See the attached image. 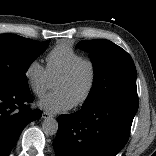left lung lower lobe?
Listing matches in <instances>:
<instances>
[{"label":"left lung lower lobe","mask_w":156,"mask_h":156,"mask_svg":"<svg viewBox=\"0 0 156 156\" xmlns=\"http://www.w3.org/2000/svg\"><path fill=\"white\" fill-rule=\"evenodd\" d=\"M138 103L112 99L60 115L57 156H116L129 139Z\"/></svg>","instance_id":"1"}]
</instances>
